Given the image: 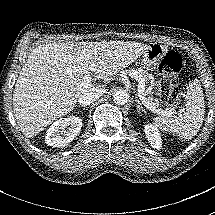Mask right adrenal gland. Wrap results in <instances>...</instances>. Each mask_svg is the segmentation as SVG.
<instances>
[{"label":"right adrenal gland","instance_id":"2a0ac1e0","mask_svg":"<svg viewBox=\"0 0 215 215\" xmlns=\"http://www.w3.org/2000/svg\"><path fill=\"white\" fill-rule=\"evenodd\" d=\"M81 108H85V109H88V108H86V107H83V106H82Z\"/></svg>","mask_w":215,"mask_h":215}]
</instances>
